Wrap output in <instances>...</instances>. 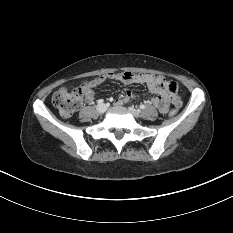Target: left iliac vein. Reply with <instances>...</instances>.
I'll use <instances>...</instances> for the list:
<instances>
[{
  "instance_id": "4c4485c4",
  "label": "left iliac vein",
  "mask_w": 233,
  "mask_h": 233,
  "mask_svg": "<svg viewBox=\"0 0 233 233\" xmlns=\"http://www.w3.org/2000/svg\"><path fill=\"white\" fill-rule=\"evenodd\" d=\"M129 111L134 117H140V111L135 109L134 107H129Z\"/></svg>"
}]
</instances>
